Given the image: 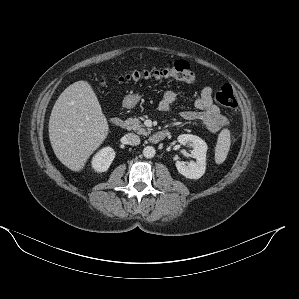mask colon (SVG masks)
Here are the masks:
<instances>
[{
    "mask_svg": "<svg viewBox=\"0 0 299 299\" xmlns=\"http://www.w3.org/2000/svg\"><path fill=\"white\" fill-rule=\"evenodd\" d=\"M173 79L192 83L196 80V74L191 70L185 60L169 61L162 66L152 68H135L114 79L115 82L124 83L139 80H164ZM108 79H103L101 84L106 86ZM216 100L231 113H235L238 107L232 87L225 84L216 93Z\"/></svg>",
    "mask_w": 299,
    "mask_h": 299,
    "instance_id": "1",
    "label": "colon"
}]
</instances>
